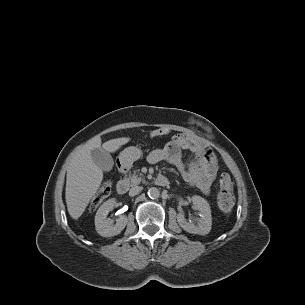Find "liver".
Returning a JSON list of instances; mask_svg holds the SVG:
<instances>
[{
  "label": "liver",
  "instance_id": "obj_1",
  "mask_svg": "<svg viewBox=\"0 0 305 305\" xmlns=\"http://www.w3.org/2000/svg\"><path fill=\"white\" fill-rule=\"evenodd\" d=\"M130 140L129 137H121L101 145V138L95 136L75 150L67 168L65 189L67 209L73 219H78L83 214L103 180V171L93 162L91 151L102 147L114 153Z\"/></svg>",
  "mask_w": 305,
  "mask_h": 305
}]
</instances>
